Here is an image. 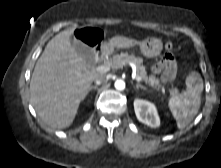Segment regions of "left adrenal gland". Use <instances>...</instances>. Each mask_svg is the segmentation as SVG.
<instances>
[{
    "label": "left adrenal gland",
    "instance_id": "left-adrenal-gland-1",
    "mask_svg": "<svg viewBox=\"0 0 221 168\" xmlns=\"http://www.w3.org/2000/svg\"><path fill=\"white\" fill-rule=\"evenodd\" d=\"M136 89H139V88H141V89H143V90H146V87H144L143 85H141V84H136Z\"/></svg>",
    "mask_w": 221,
    "mask_h": 168
}]
</instances>
